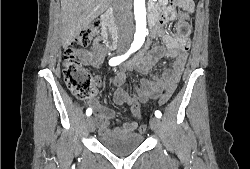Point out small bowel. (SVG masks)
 <instances>
[{"mask_svg":"<svg viewBox=\"0 0 250 169\" xmlns=\"http://www.w3.org/2000/svg\"><path fill=\"white\" fill-rule=\"evenodd\" d=\"M180 6V4H179ZM180 18L185 21L189 18L192 9H184L180 6ZM170 13V10H161L158 12L152 11L149 14L150 20L155 21L158 18H163ZM189 31L186 34H181L173 43H170L167 48L156 45L146 52L138 53L132 60L125 63L122 69L117 72L112 83L116 90L114 93V103L116 105H128L131 112V103H146L150 99H156L159 91L163 89H176L177 84L182 76L184 66L187 59V49L189 40L187 38ZM76 55L84 64H90L94 67L99 66L105 60V53L100 50L85 51L82 49L76 50ZM163 57L171 59V63L160 73L153 74L150 79L143 78L139 85L135 86V94H129L124 88L126 73L136 70L141 74H149L154 65ZM166 83H175V88H166ZM95 86L101 85V79L98 75H94ZM172 95V94H171ZM86 104L94 110L95 116L99 123V131L105 135L108 131V123L115 116L112 109L107 108L102 101L91 98L86 101ZM132 121L125 123L122 126L113 128L116 133H131L136 128V115H131Z\"/></svg>","mask_w":250,"mask_h":169,"instance_id":"small-bowel-1","label":"small bowel"}]
</instances>
